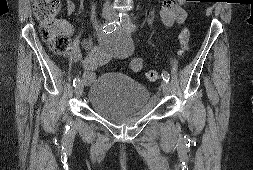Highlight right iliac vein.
<instances>
[{
	"instance_id": "obj_1",
	"label": "right iliac vein",
	"mask_w": 253,
	"mask_h": 170,
	"mask_svg": "<svg viewBox=\"0 0 253 170\" xmlns=\"http://www.w3.org/2000/svg\"><path fill=\"white\" fill-rule=\"evenodd\" d=\"M103 18H104L106 21L112 20V14L109 13V12H104V13H103ZM84 85H85V80L82 79V80L78 83V85L76 86V88H75V96H76L77 98L80 97V95L82 94Z\"/></svg>"
}]
</instances>
